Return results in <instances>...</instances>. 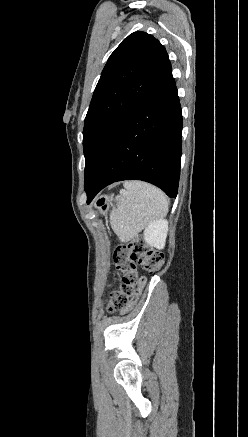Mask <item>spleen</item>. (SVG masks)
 Wrapping results in <instances>:
<instances>
[{
  "label": "spleen",
  "mask_w": 248,
  "mask_h": 437,
  "mask_svg": "<svg viewBox=\"0 0 248 437\" xmlns=\"http://www.w3.org/2000/svg\"><path fill=\"white\" fill-rule=\"evenodd\" d=\"M168 199L159 188L141 181H126L110 214L113 231L122 242L133 239L151 222L168 212Z\"/></svg>",
  "instance_id": "obj_1"
}]
</instances>
